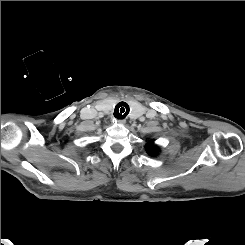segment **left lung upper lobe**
<instances>
[{
    "label": "left lung upper lobe",
    "mask_w": 245,
    "mask_h": 245,
    "mask_svg": "<svg viewBox=\"0 0 245 245\" xmlns=\"http://www.w3.org/2000/svg\"><path fill=\"white\" fill-rule=\"evenodd\" d=\"M146 151L151 156H156L159 152L157 145L154 144V141L151 140L148 144H146Z\"/></svg>",
    "instance_id": "5c2ea615"
}]
</instances>
